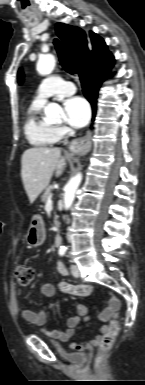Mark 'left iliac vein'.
<instances>
[{
	"instance_id": "left-iliac-vein-1",
	"label": "left iliac vein",
	"mask_w": 145,
	"mask_h": 385,
	"mask_svg": "<svg viewBox=\"0 0 145 385\" xmlns=\"http://www.w3.org/2000/svg\"><path fill=\"white\" fill-rule=\"evenodd\" d=\"M71 272H72V275L75 277V278H78L80 276V270L78 268L77 265L73 264L71 266Z\"/></svg>"
}]
</instances>
